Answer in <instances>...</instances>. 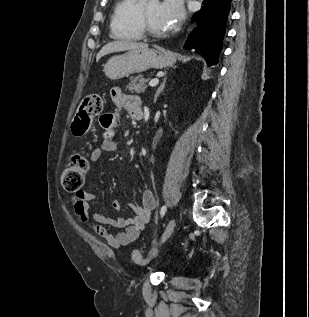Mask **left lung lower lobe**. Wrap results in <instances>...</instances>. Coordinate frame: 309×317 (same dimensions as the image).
I'll return each instance as SVG.
<instances>
[{"mask_svg":"<svg viewBox=\"0 0 309 317\" xmlns=\"http://www.w3.org/2000/svg\"><path fill=\"white\" fill-rule=\"evenodd\" d=\"M232 1L205 0L202 11L193 16L199 26L189 37L184 48L194 49L205 58L208 66L218 64L231 15Z\"/></svg>","mask_w":309,"mask_h":317,"instance_id":"obj_1","label":"left lung lower lobe"}]
</instances>
